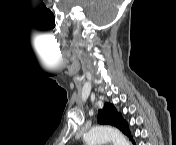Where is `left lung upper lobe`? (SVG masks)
I'll return each instance as SVG.
<instances>
[{"instance_id": "left-lung-upper-lobe-1", "label": "left lung upper lobe", "mask_w": 176, "mask_h": 145, "mask_svg": "<svg viewBox=\"0 0 176 145\" xmlns=\"http://www.w3.org/2000/svg\"><path fill=\"white\" fill-rule=\"evenodd\" d=\"M98 122L100 124L115 126L126 135L130 136L127 123L123 120L120 113L116 111L112 104L105 103L104 108L98 113Z\"/></svg>"}]
</instances>
